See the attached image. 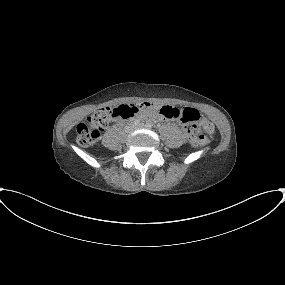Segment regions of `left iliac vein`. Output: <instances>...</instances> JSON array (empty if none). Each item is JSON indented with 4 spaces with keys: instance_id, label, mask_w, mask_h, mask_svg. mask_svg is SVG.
<instances>
[{
    "instance_id": "left-iliac-vein-1",
    "label": "left iliac vein",
    "mask_w": 285,
    "mask_h": 285,
    "mask_svg": "<svg viewBox=\"0 0 285 285\" xmlns=\"http://www.w3.org/2000/svg\"><path fill=\"white\" fill-rule=\"evenodd\" d=\"M144 127V124H139L138 128Z\"/></svg>"
}]
</instances>
